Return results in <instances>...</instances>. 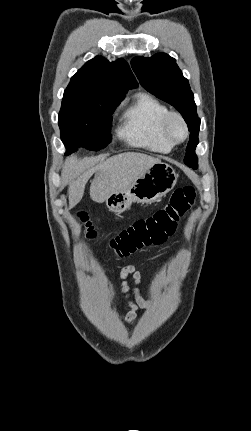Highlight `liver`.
<instances>
[{
  "label": "liver",
  "mask_w": 251,
  "mask_h": 431,
  "mask_svg": "<svg viewBox=\"0 0 251 431\" xmlns=\"http://www.w3.org/2000/svg\"><path fill=\"white\" fill-rule=\"evenodd\" d=\"M159 159L143 153L127 152L107 159H66L62 175L70 179L69 208L76 206L84 195L86 183L95 174L90 186V197L95 202L105 201L111 194L126 191Z\"/></svg>",
  "instance_id": "liver-1"
}]
</instances>
